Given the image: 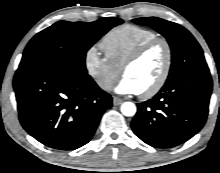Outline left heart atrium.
Returning a JSON list of instances; mask_svg holds the SVG:
<instances>
[{
	"instance_id": "39dd6f15",
	"label": "left heart atrium",
	"mask_w": 220,
	"mask_h": 173,
	"mask_svg": "<svg viewBox=\"0 0 220 173\" xmlns=\"http://www.w3.org/2000/svg\"><path fill=\"white\" fill-rule=\"evenodd\" d=\"M115 91L119 94H127V95H135L140 93V90L135 84V82L128 77H123L120 80V82L115 88Z\"/></svg>"
}]
</instances>
